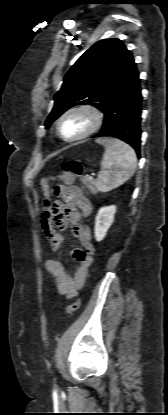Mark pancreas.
<instances>
[{
	"label": "pancreas",
	"instance_id": "obj_1",
	"mask_svg": "<svg viewBox=\"0 0 168 415\" xmlns=\"http://www.w3.org/2000/svg\"><path fill=\"white\" fill-rule=\"evenodd\" d=\"M85 182L91 185H95V181L89 178H85ZM92 192L95 194L96 193L95 189H92Z\"/></svg>",
	"mask_w": 168,
	"mask_h": 415
}]
</instances>
